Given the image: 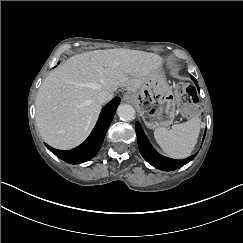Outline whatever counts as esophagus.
<instances>
[{
  "instance_id": "1",
  "label": "esophagus",
  "mask_w": 243,
  "mask_h": 243,
  "mask_svg": "<svg viewBox=\"0 0 243 243\" xmlns=\"http://www.w3.org/2000/svg\"><path fill=\"white\" fill-rule=\"evenodd\" d=\"M123 100L127 101L128 100V96H124Z\"/></svg>"
}]
</instances>
